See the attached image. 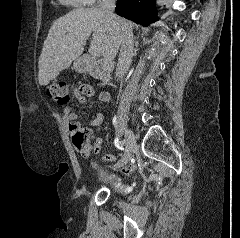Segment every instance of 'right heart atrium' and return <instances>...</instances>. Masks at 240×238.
Wrapping results in <instances>:
<instances>
[{"instance_id": "obj_1", "label": "right heart atrium", "mask_w": 240, "mask_h": 238, "mask_svg": "<svg viewBox=\"0 0 240 238\" xmlns=\"http://www.w3.org/2000/svg\"><path fill=\"white\" fill-rule=\"evenodd\" d=\"M89 2V4H94L96 2H101V1H105V0H87Z\"/></svg>"}]
</instances>
